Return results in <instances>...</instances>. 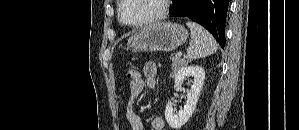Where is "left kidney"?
Masks as SVG:
<instances>
[{"label":"left kidney","mask_w":299,"mask_h":130,"mask_svg":"<svg viewBox=\"0 0 299 130\" xmlns=\"http://www.w3.org/2000/svg\"><path fill=\"white\" fill-rule=\"evenodd\" d=\"M186 77L193 78L191 89L187 93V100L183 109L175 112L174 104L170 100L166 105L165 119L168 125L178 130L190 119L194 113L198 101V96L203 87L205 71L200 66H182L176 73L174 88L181 85Z\"/></svg>","instance_id":"obj_1"}]
</instances>
